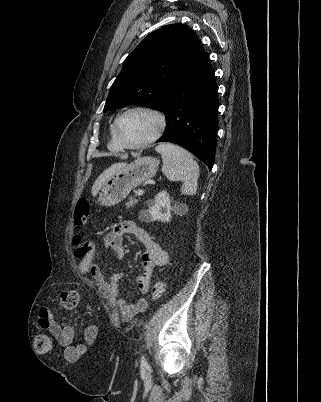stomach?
Segmentation results:
<instances>
[{
    "label": "stomach",
    "mask_w": 321,
    "mask_h": 402,
    "mask_svg": "<svg viewBox=\"0 0 321 402\" xmlns=\"http://www.w3.org/2000/svg\"><path fill=\"white\" fill-rule=\"evenodd\" d=\"M159 166L155 157H139L109 177L98 190V202L102 206H113L127 197L130 191L152 178Z\"/></svg>",
    "instance_id": "stomach-1"
}]
</instances>
